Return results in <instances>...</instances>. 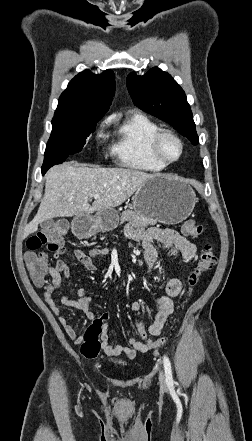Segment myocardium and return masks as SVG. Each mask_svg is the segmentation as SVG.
<instances>
[{"mask_svg":"<svg viewBox=\"0 0 252 441\" xmlns=\"http://www.w3.org/2000/svg\"><path fill=\"white\" fill-rule=\"evenodd\" d=\"M165 138H171L179 144L180 152L178 157H176L175 159H166L161 153V143L162 140ZM184 150L185 147L182 139L173 131L168 129H159L153 135L150 141V152L153 158L164 166H169L171 164L178 162L183 157Z\"/></svg>","mask_w":252,"mask_h":441,"instance_id":"obj_1","label":"myocardium"}]
</instances>
